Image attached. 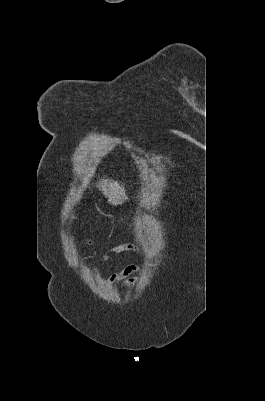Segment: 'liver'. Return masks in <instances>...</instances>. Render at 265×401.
<instances>
[{
    "label": "liver",
    "instance_id": "liver-1",
    "mask_svg": "<svg viewBox=\"0 0 265 401\" xmlns=\"http://www.w3.org/2000/svg\"><path fill=\"white\" fill-rule=\"evenodd\" d=\"M99 188H102L103 194H105L112 205H122V203H125L126 198H128L125 194L124 186H121L117 180L102 178Z\"/></svg>",
    "mask_w": 265,
    "mask_h": 401
}]
</instances>
